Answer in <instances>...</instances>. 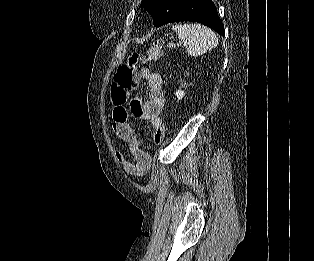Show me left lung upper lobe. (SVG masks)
<instances>
[{
	"label": "left lung upper lobe",
	"instance_id": "left-lung-upper-lobe-1",
	"mask_svg": "<svg viewBox=\"0 0 314 261\" xmlns=\"http://www.w3.org/2000/svg\"><path fill=\"white\" fill-rule=\"evenodd\" d=\"M184 0H142L141 6L153 17L155 27L167 24Z\"/></svg>",
	"mask_w": 314,
	"mask_h": 261
}]
</instances>
